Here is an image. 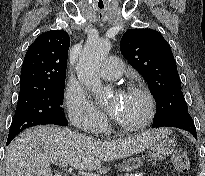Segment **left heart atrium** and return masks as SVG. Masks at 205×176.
Wrapping results in <instances>:
<instances>
[{
    "label": "left heart atrium",
    "mask_w": 205,
    "mask_h": 176,
    "mask_svg": "<svg viewBox=\"0 0 205 176\" xmlns=\"http://www.w3.org/2000/svg\"><path fill=\"white\" fill-rule=\"evenodd\" d=\"M125 96L124 93H118L116 95V97L114 98V100L112 101V103L110 104L109 106V111L112 115L115 114L116 110H117V107L120 103V100Z\"/></svg>",
    "instance_id": "1"
}]
</instances>
